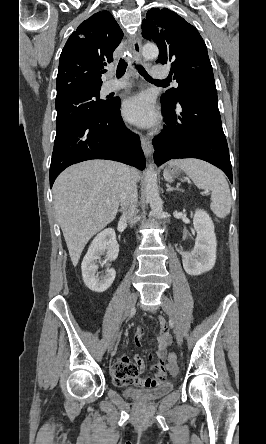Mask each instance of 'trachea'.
<instances>
[{
  "label": "trachea",
  "mask_w": 266,
  "mask_h": 444,
  "mask_svg": "<svg viewBox=\"0 0 266 444\" xmlns=\"http://www.w3.org/2000/svg\"><path fill=\"white\" fill-rule=\"evenodd\" d=\"M134 66L138 70L139 74L144 77L145 80H147L149 82L168 84L166 81L153 79L147 73V71L144 69V67L141 66L140 64L134 63ZM126 68H127V62L121 58L118 65H117L116 76L118 78L122 77L125 74Z\"/></svg>",
  "instance_id": "3493384b"
}]
</instances>
